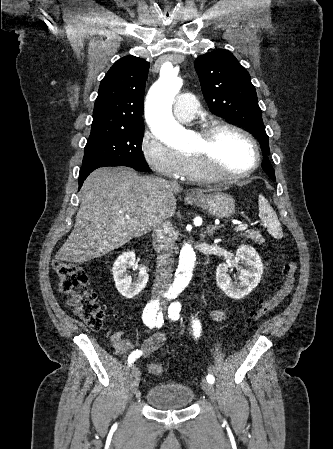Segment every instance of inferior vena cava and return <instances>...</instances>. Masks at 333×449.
Returning a JSON list of instances; mask_svg holds the SVG:
<instances>
[{
	"label": "inferior vena cava",
	"mask_w": 333,
	"mask_h": 449,
	"mask_svg": "<svg viewBox=\"0 0 333 449\" xmlns=\"http://www.w3.org/2000/svg\"><path fill=\"white\" fill-rule=\"evenodd\" d=\"M153 244L157 252L153 298L162 296L169 288L174 265V230L168 218H158L153 226Z\"/></svg>",
	"instance_id": "1"
}]
</instances>
